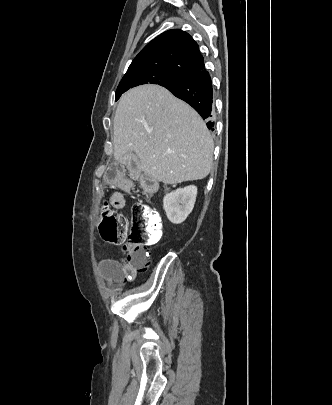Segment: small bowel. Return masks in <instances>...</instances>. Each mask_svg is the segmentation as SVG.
<instances>
[{
	"label": "small bowel",
	"mask_w": 332,
	"mask_h": 405,
	"mask_svg": "<svg viewBox=\"0 0 332 405\" xmlns=\"http://www.w3.org/2000/svg\"><path fill=\"white\" fill-rule=\"evenodd\" d=\"M124 169L123 162H109L107 172H102V186H121L123 177L125 181H138V172H125ZM109 204L114 207L115 211H124L126 207L120 193H115L110 197ZM100 269L107 279L116 284L122 283L124 278L132 273H127L123 266L113 259L102 260Z\"/></svg>",
	"instance_id": "obj_1"
}]
</instances>
